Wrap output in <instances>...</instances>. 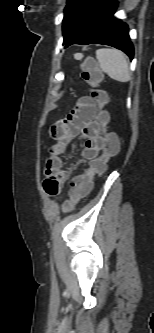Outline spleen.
Instances as JSON below:
<instances>
[{
    "label": "spleen",
    "instance_id": "3e777b00",
    "mask_svg": "<svg viewBox=\"0 0 154 333\" xmlns=\"http://www.w3.org/2000/svg\"><path fill=\"white\" fill-rule=\"evenodd\" d=\"M96 58L100 69L110 78L119 82L130 80L129 63L123 52L117 49H98Z\"/></svg>",
    "mask_w": 154,
    "mask_h": 333
}]
</instances>
